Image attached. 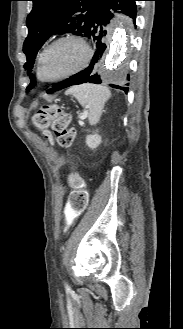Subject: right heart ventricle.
Listing matches in <instances>:
<instances>
[{
  "label": "right heart ventricle",
  "instance_id": "1",
  "mask_svg": "<svg viewBox=\"0 0 183 329\" xmlns=\"http://www.w3.org/2000/svg\"><path fill=\"white\" fill-rule=\"evenodd\" d=\"M39 62V61H38ZM37 73H38V69H37ZM38 77H39V73H38ZM40 78V77H39Z\"/></svg>",
  "mask_w": 183,
  "mask_h": 329
}]
</instances>
